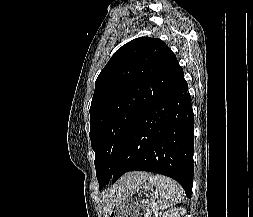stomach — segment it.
I'll return each mask as SVG.
<instances>
[{
  "mask_svg": "<svg viewBox=\"0 0 253 217\" xmlns=\"http://www.w3.org/2000/svg\"><path fill=\"white\" fill-rule=\"evenodd\" d=\"M156 202L151 185L144 181L117 198L107 217H151Z\"/></svg>",
  "mask_w": 253,
  "mask_h": 217,
  "instance_id": "0dacf381",
  "label": "stomach"
}]
</instances>
